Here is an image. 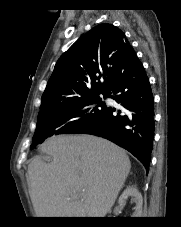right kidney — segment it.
Returning <instances> with one entry per match:
<instances>
[{
	"instance_id": "obj_1",
	"label": "right kidney",
	"mask_w": 181,
	"mask_h": 227,
	"mask_svg": "<svg viewBox=\"0 0 181 227\" xmlns=\"http://www.w3.org/2000/svg\"><path fill=\"white\" fill-rule=\"evenodd\" d=\"M129 197H131V202L135 203L132 217H141L143 198L135 185H130L123 191L118 200L119 206H124Z\"/></svg>"
}]
</instances>
